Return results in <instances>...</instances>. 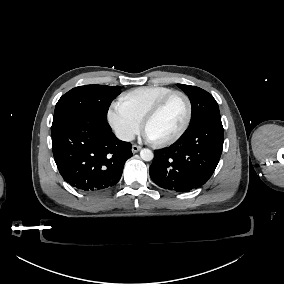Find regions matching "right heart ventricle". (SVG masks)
Here are the masks:
<instances>
[{"label":"right heart ventricle","mask_w":284,"mask_h":284,"mask_svg":"<svg viewBox=\"0 0 284 284\" xmlns=\"http://www.w3.org/2000/svg\"><path fill=\"white\" fill-rule=\"evenodd\" d=\"M175 90L165 86H141L121 94L118 106L142 121L146 113L166 95Z\"/></svg>","instance_id":"right-heart-ventricle-1"}]
</instances>
